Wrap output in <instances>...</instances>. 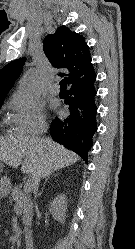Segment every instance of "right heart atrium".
Segmentation results:
<instances>
[{"instance_id": "d8ad5b80", "label": "right heart atrium", "mask_w": 135, "mask_h": 249, "mask_svg": "<svg viewBox=\"0 0 135 249\" xmlns=\"http://www.w3.org/2000/svg\"><path fill=\"white\" fill-rule=\"evenodd\" d=\"M9 107L13 112L12 127L17 134H38L45 130V113L39 103L27 102L18 95H13Z\"/></svg>"}]
</instances>
